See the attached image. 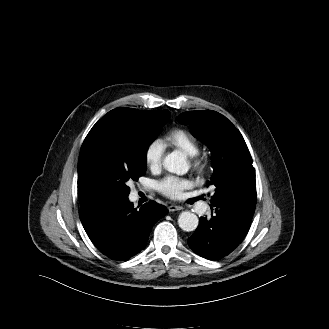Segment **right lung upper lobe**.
<instances>
[{
	"mask_svg": "<svg viewBox=\"0 0 329 329\" xmlns=\"http://www.w3.org/2000/svg\"><path fill=\"white\" fill-rule=\"evenodd\" d=\"M117 109L122 110V111H124L128 114H131L134 117V119L136 120V122H138L140 124H147L157 114H163V113L168 112L167 110H163V111H142V110H137V109H132V108H124V107L117 108ZM96 136H97V134L95 132V129L92 128L90 130V132L88 133V135L86 136V138L83 142L82 148H84L90 141L95 139Z\"/></svg>",
	"mask_w": 329,
	"mask_h": 329,
	"instance_id": "cb5924a9",
	"label": "right lung upper lobe"
}]
</instances>
